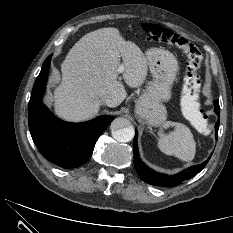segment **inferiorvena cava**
Here are the masks:
<instances>
[{
    "label": "inferior vena cava",
    "instance_id": "obj_1",
    "mask_svg": "<svg viewBox=\"0 0 233 233\" xmlns=\"http://www.w3.org/2000/svg\"><path fill=\"white\" fill-rule=\"evenodd\" d=\"M103 105H107L109 107L113 106V99L111 96H105L101 99Z\"/></svg>",
    "mask_w": 233,
    "mask_h": 233
}]
</instances>
